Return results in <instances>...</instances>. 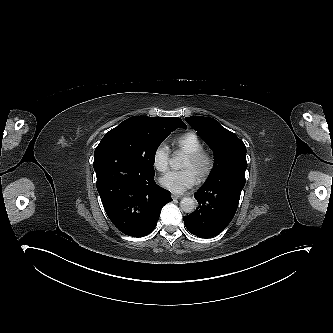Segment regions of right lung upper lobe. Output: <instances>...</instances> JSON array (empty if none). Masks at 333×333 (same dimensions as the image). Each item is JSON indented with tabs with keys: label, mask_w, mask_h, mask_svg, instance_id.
<instances>
[{
	"label": "right lung upper lobe",
	"mask_w": 333,
	"mask_h": 333,
	"mask_svg": "<svg viewBox=\"0 0 333 333\" xmlns=\"http://www.w3.org/2000/svg\"><path fill=\"white\" fill-rule=\"evenodd\" d=\"M131 119H150V120H155V121H161L168 123L173 126H180V127H186V124L178 117H140V116H133L128 118L127 120Z\"/></svg>",
	"instance_id": "cb5924a9"
}]
</instances>
